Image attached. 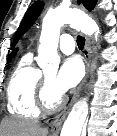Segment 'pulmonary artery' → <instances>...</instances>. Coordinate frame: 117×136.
Wrapping results in <instances>:
<instances>
[{"mask_svg":"<svg viewBox=\"0 0 117 136\" xmlns=\"http://www.w3.org/2000/svg\"><path fill=\"white\" fill-rule=\"evenodd\" d=\"M59 49L64 54H71L75 49V42L71 35L62 34L59 40Z\"/></svg>","mask_w":117,"mask_h":136,"instance_id":"obj_1","label":"pulmonary artery"}]
</instances>
